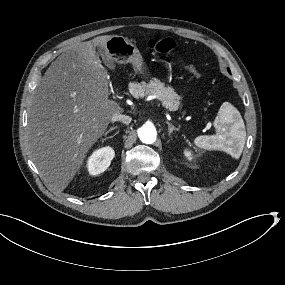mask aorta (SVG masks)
<instances>
[{"label":"aorta","mask_w":285,"mask_h":285,"mask_svg":"<svg viewBox=\"0 0 285 285\" xmlns=\"http://www.w3.org/2000/svg\"><path fill=\"white\" fill-rule=\"evenodd\" d=\"M140 140L145 144H153L157 138V131L152 124H144L138 131Z\"/></svg>","instance_id":"obj_1"}]
</instances>
